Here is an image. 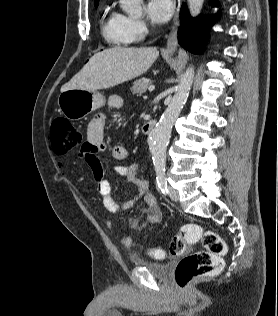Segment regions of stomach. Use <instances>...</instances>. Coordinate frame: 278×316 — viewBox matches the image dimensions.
I'll list each match as a JSON object with an SVG mask.
<instances>
[{
    "instance_id": "stomach-1",
    "label": "stomach",
    "mask_w": 278,
    "mask_h": 316,
    "mask_svg": "<svg viewBox=\"0 0 278 316\" xmlns=\"http://www.w3.org/2000/svg\"><path fill=\"white\" fill-rule=\"evenodd\" d=\"M104 105L105 97L97 91L69 89L58 97L59 110L70 120H79Z\"/></svg>"
}]
</instances>
